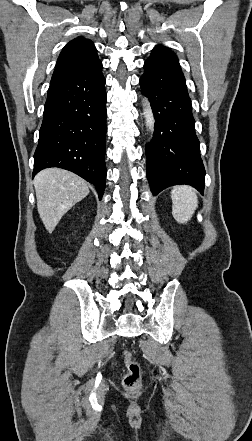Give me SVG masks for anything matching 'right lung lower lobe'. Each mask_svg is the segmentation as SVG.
<instances>
[{
    "label": "right lung lower lobe",
    "mask_w": 252,
    "mask_h": 441,
    "mask_svg": "<svg viewBox=\"0 0 252 441\" xmlns=\"http://www.w3.org/2000/svg\"><path fill=\"white\" fill-rule=\"evenodd\" d=\"M106 101L101 62L50 83L33 176L45 168H63L94 184L102 198Z\"/></svg>",
    "instance_id": "98d812e1"
}]
</instances>
